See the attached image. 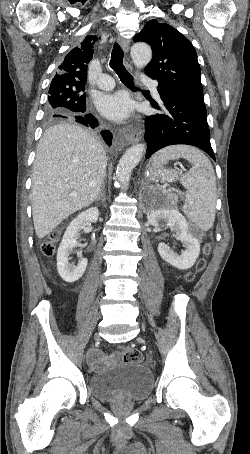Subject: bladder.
<instances>
[{
    "instance_id": "1",
    "label": "bladder",
    "mask_w": 250,
    "mask_h": 454,
    "mask_svg": "<svg viewBox=\"0 0 250 454\" xmlns=\"http://www.w3.org/2000/svg\"><path fill=\"white\" fill-rule=\"evenodd\" d=\"M91 394L102 402H141L153 391L150 370L136 362L124 361L88 379Z\"/></svg>"
}]
</instances>
